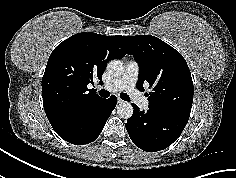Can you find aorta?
Wrapping results in <instances>:
<instances>
[{
	"instance_id": "aorta-1",
	"label": "aorta",
	"mask_w": 236,
	"mask_h": 178,
	"mask_svg": "<svg viewBox=\"0 0 236 178\" xmlns=\"http://www.w3.org/2000/svg\"><path fill=\"white\" fill-rule=\"evenodd\" d=\"M107 70L112 76L118 77L124 72L123 63L119 60H112L108 63ZM117 114L124 119L130 118L133 114L132 105L129 102L119 104L117 106Z\"/></svg>"
}]
</instances>
